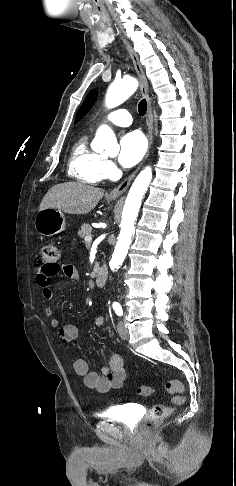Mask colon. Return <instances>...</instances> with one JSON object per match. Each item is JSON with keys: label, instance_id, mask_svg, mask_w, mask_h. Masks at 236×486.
I'll use <instances>...</instances> for the list:
<instances>
[{"label": "colon", "instance_id": "obj_1", "mask_svg": "<svg viewBox=\"0 0 236 486\" xmlns=\"http://www.w3.org/2000/svg\"><path fill=\"white\" fill-rule=\"evenodd\" d=\"M60 258V250L54 244H45L41 249V265L46 270H52L58 265ZM166 392L172 397V405H155L151 408L144 429L150 431L154 426L167 419L174 409L181 406L185 402V388L179 380H171L167 382ZM141 397H148L152 393V388L149 386H140L137 390Z\"/></svg>", "mask_w": 236, "mask_h": 486}]
</instances>
